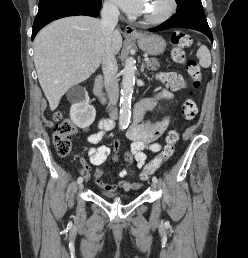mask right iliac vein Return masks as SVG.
Wrapping results in <instances>:
<instances>
[{
    "instance_id": "1",
    "label": "right iliac vein",
    "mask_w": 248,
    "mask_h": 258,
    "mask_svg": "<svg viewBox=\"0 0 248 258\" xmlns=\"http://www.w3.org/2000/svg\"><path fill=\"white\" fill-rule=\"evenodd\" d=\"M83 187H84V186H83V183H79L78 189H79V190H82Z\"/></svg>"
}]
</instances>
